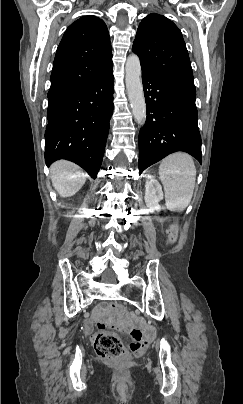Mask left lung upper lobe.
<instances>
[{
    "label": "left lung upper lobe",
    "instance_id": "1",
    "mask_svg": "<svg viewBox=\"0 0 243 404\" xmlns=\"http://www.w3.org/2000/svg\"><path fill=\"white\" fill-rule=\"evenodd\" d=\"M132 50L142 70L160 76L193 82V72L183 36L166 17L149 14L137 30Z\"/></svg>",
    "mask_w": 243,
    "mask_h": 404
}]
</instances>
